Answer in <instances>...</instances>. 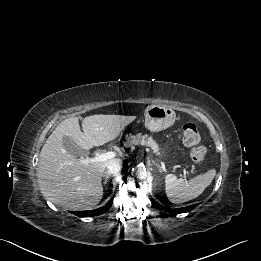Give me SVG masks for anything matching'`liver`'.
I'll return each instance as SVG.
<instances>
[{
	"label": "liver",
	"instance_id": "obj_1",
	"mask_svg": "<svg viewBox=\"0 0 261 261\" xmlns=\"http://www.w3.org/2000/svg\"><path fill=\"white\" fill-rule=\"evenodd\" d=\"M135 116L91 115L82 120L70 117L58 124L43 145L37 168L44 197L68 209L95 206L103 196L102 177L109 162L83 164L68 152L63 137L69 136L80 148L89 150L116 139Z\"/></svg>",
	"mask_w": 261,
	"mask_h": 261
}]
</instances>
